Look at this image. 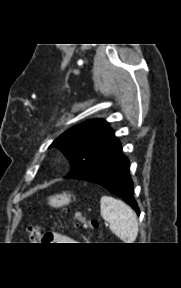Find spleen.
I'll return each mask as SVG.
<instances>
[{
  "instance_id": "spleen-1",
  "label": "spleen",
  "mask_w": 181,
  "mask_h": 288,
  "mask_svg": "<svg viewBox=\"0 0 181 288\" xmlns=\"http://www.w3.org/2000/svg\"><path fill=\"white\" fill-rule=\"evenodd\" d=\"M101 215L111 231L125 243H134L138 235V221L134 211L124 202L104 195L100 200Z\"/></svg>"
}]
</instances>
